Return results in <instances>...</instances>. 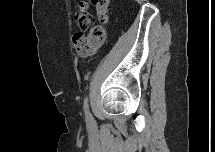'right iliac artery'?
Instances as JSON below:
<instances>
[{
  "mask_svg": "<svg viewBox=\"0 0 215 152\" xmlns=\"http://www.w3.org/2000/svg\"><path fill=\"white\" fill-rule=\"evenodd\" d=\"M84 111H85V114H86V118L89 120L90 117H91V114H90L89 108H88V99H87V97L85 98V101H84Z\"/></svg>",
  "mask_w": 215,
  "mask_h": 152,
  "instance_id": "1",
  "label": "right iliac artery"
}]
</instances>
